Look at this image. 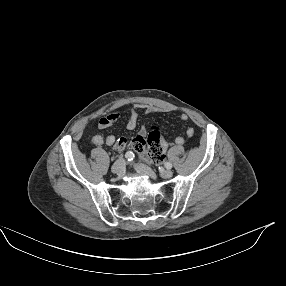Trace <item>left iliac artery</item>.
<instances>
[{
	"label": "left iliac artery",
	"instance_id": "left-iliac-artery-1",
	"mask_svg": "<svg viewBox=\"0 0 286 286\" xmlns=\"http://www.w3.org/2000/svg\"><path fill=\"white\" fill-rule=\"evenodd\" d=\"M165 167H166L167 169H171V168H172V164H171L170 162H166V163H165Z\"/></svg>",
	"mask_w": 286,
	"mask_h": 286
}]
</instances>
